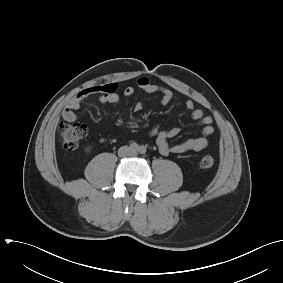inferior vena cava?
I'll return each instance as SVG.
<instances>
[{
  "label": "inferior vena cava",
  "instance_id": "obj_1",
  "mask_svg": "<svg viewBox=\"0 0 283 283\" xmlns=\"http://www.w3.org/2000/svg\"><path fill=\"white\" fill-rule=\"evenodd\" d=\"M134 153L135 152L130 147H127V146H122L118 150V155L120 157L131 156V155H134Z\"/></svg>",
  "mask_w": 283,
  "mask_h": 283
}]
</instances>
